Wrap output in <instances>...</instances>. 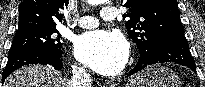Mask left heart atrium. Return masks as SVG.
I'll use <instances>...</instances> for the list:
<instances>
[{
  "label": "left heart atrium",
  "mask_w": 205,
  "mask_h": 87,
  "mask_svg": "<svg viewBox=\"0 0 205 87\" xmlns=\"http://www.w3.org/2000/svg\"><path fill=\"white\" fill-rule=\"evenodd\" d=\"M125 38L117 33L95 30L80 35L75 43V56L94 71L112 76L118 74L128 59Z\"/></svg>",
  "instance_id": "1"
}]
</instances>
